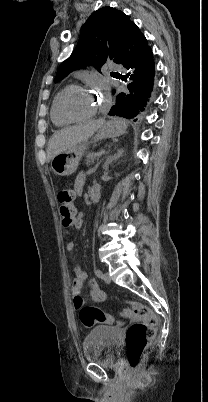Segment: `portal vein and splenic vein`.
Masks as SVG:
<instances>
[{
	"mask_svg": "<svg viewBox=\"0 0 208 402\" xmlns=\"http://www.w3.org/2000/svg\"><path fill=\"white\" fill-rule=\"evenodd\" d=\"M111 151L110 150H105L104 154L103 153H92L91 155L87 156V159L91 161H87V164H95L96 160H99L100 158H103L104 156L110 155Z\"/></svg>",
	"mask_w": 208,
	"mask_h": 402,
	"instance_id": "obj_1",
	"label": "portal vein and splenic vein"
}]
</instances>
